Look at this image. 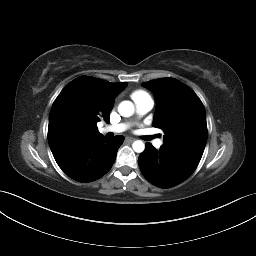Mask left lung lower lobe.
Masks as SVG:
<instances>
[{"mask_svg":"<svg viewBox=\"0 0 256 256\" xmlns=\"http://www.w3.org/2000/svg\"><path fill=\"white\" fill-rule=\"evenodd\" d=\"M138 163L144 177L160 188H170L180 184L197 167L161 148L156 150L150 143H146V148L140 154Z\"/></svg>","mask_w":256,"mask_h":256,"instance_id":"obj_1","label":"left lung lower lobe"}]
</instances>
